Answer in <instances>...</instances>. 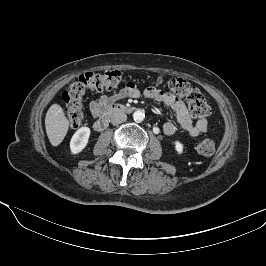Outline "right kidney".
<instances>
[{
    "instance_id": "1",
    "label": "right kidney",
    "mask_w": 266,
    "mask_h": 266,
    "mask_svg": "<svg viewBox=\"0 0 266 266\" xmlns=\"http://www.w3.org/2000/svg\"><path fill=\"white\" fill-rule=\"evenodd\" d=\"M89 137H90L89 127H81L80 129H78L74 133L70 141V149L72 154L80 153L87 146Z\"/></svg>"
}]
</instances>
